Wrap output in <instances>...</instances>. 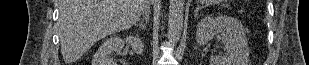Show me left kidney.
Wrapping results in <instances>:
<instances>
[{
  "instance_id": "obj_1",
  "label": "left kidney",
  "mask_w": 309,
  "mask_h": 65,
  "mask_svg": "<svg viewBox=\"0 0 309 65\" xmlns=\"http://www.w3.org/2000/svg\"><path fill=\"white\" fill-rule=\"evenodd\" d=\"M215 35H220L228 54L211 56L210 65H247L249 48L246 31L242 23L229 16H207L197 26L196 40L199 45H206Z\"/></svg>"
}]
</instances>
